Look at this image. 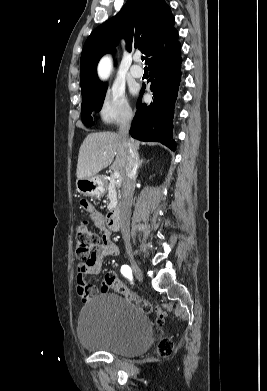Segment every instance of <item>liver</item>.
<instances>
[{
  "label": "liver",
  "mask_w": 267,
  "mask_h": 391,
  "mask_svg": "<svg viewBox=\"0 0 267 391\" xmlns=\"http://www.w3.org/2000/svg\"><path fill=\"white\" fill-rule=\"evenodd\" d=\"M136 149L139 141L129 139ZM115 158V161L113 162ZM127 162V150L119 134L113 132H97L89 134L83 141L78 155L76 175L85 179L96 175L110 166L122 176Z\"/></svg>",
  "instance_id": "obj_1"
}]
</instances>
